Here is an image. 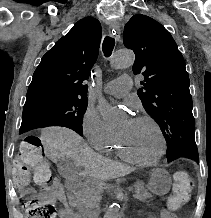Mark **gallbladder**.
Here are the masks:
<instances>
[{"label":"gallbladder","mask_w":211,"mask_h":218,"mask_svg":"<svg viewBox=\"0 0 211 218\" xmlns=\"http://www.w3.org/2000/svg\"><path fill=\"white\" fill-rule=\"evenodd\" d=\"M58 172L62 178H70V176L80 175L83 170L82 166H76V162L71 158H62L57 164Z\"/></svg>","instance_id":"gallbladder-1"}]
</instances>
